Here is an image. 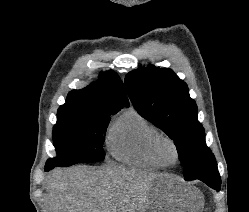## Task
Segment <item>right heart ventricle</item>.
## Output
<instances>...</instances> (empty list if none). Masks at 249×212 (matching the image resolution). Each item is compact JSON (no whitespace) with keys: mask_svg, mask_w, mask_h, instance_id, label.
<instances>
[{"mask_svg":"<svg viewBox=\"0 0 249 212\" xmlns=\"http://www.w3.org/2000/svg\"><path fill=\"white\" fill-rule=\"evenodd\" d=\"M158 128L135 108L126 109L110 125L106 136L109 154L117 161L149 170L164 169L152 156Z\"/></svg>","mask_w":249,"mask_h":212,"instance_id":"1","label":"right heart ventricle"}]
</instances>
